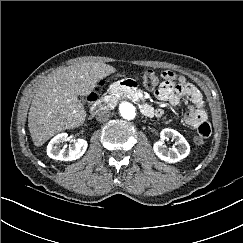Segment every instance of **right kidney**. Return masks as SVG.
I'll list each match as a JSON object with an SVG mask.
<instances>
[{"instance_id": "right-kidney-1", "label": "right kidney", "mask_w": 243, "mask_h": 243, "mask_svg": "<svg viewBox=\"0 0 243 243\" xmlns=\"http://www.w3.org/2000/svg\"><path fill=\"white\" fill-rule=\"evenodd\" d=\"M68 140L67 133H60L51 139L47 146V155L55 160L73 161L79 159L86 151L88 143L84 139H77L73 144L61 149L63 142Z\"/></svg>"}]
</instances>
